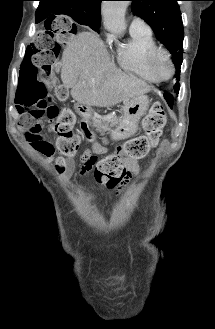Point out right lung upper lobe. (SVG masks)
Masks as SVG:
<instances>
[{"instance_id": "obj_1", "label": "right lung upper lobe", "mask_w": 215, "mask_h": 329, "mask_svg": "<svg viewBox=\"0 0 215 329\" xmlns=\"http://www.w3.org/2000/svg\"><path fill=\"white\" fill-rule=\"evenodd\" d=\"M36 22L52 20L55 15L67 12L80 14L88 22H100V2L102 0H39Z\"/></svg>"}]
</instances>
